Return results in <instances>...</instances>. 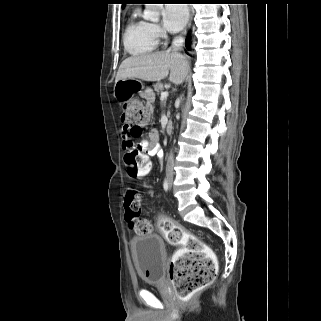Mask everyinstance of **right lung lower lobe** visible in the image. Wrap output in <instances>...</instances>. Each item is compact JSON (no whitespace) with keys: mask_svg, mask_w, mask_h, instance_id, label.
I'll return each instance as SVG.
<instances>
[{"mask_svg":"<svg viewBox=\"0 0 321 321\" xmlns=\"http://www.w3.org/2000/svg\"><path fill=\"white\" fill-rule=\"evenodd\" d=\"M186 48L189 50V45H190V37L188 36L187 39H186Z\"/></svg>","mask_w":321,"mask_h":321,"instance_id":"1","label":"right lung lower lobe"}]
</instances>
